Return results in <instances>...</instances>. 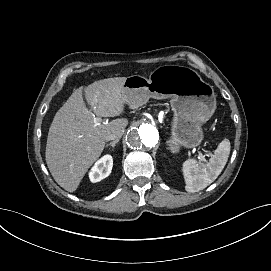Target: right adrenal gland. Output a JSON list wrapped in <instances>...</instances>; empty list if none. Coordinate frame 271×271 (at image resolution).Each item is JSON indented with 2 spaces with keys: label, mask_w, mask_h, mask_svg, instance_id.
I'll list each match as a JSON object with an SVG mask.
<instances>
[{
  "label": "right adrenal gland",
  "mask_w": 271,
  "mask_h": 271,
  "mask_svg": "<svg viewBox=\"0 0 271 271\" xmlns=\"http://www.w3.org/2000/svg\"><path fill=\"white\" fill-rule=\"evenodd\" d=\"M117 142H118V141L110 142V143L106 144L105 147L112 146V147L114 148V147H115V144H116Z\"/></svg>",
  "instance_id": "1"
}]
</instances>
